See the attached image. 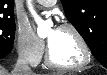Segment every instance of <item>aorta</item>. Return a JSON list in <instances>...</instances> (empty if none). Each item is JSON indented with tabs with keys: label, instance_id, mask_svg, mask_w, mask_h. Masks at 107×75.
<instances>
[{
	"label": "aorta",
	"instance_id": "aorta-1",
	"mask_svg": "<svg viewBox=\"0 0 107 75\" xmlns=\"http://www.w3.org/2000/svg\"><path fill=\"white\" fill-rule=\"evenodd\" d=\"M28 7L29 10L32 14V16L34 17L36 23H37V33L39 36H43L47 33L48 31V25L46 22H44L38 15L37 13L34 11L30 1H28Z\"/></svg>",
	"mask_w": 107,
	"mask_h": 75
}]
</instances>
